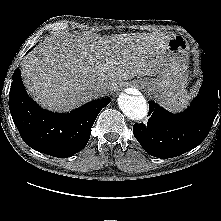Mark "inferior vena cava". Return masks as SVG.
<instances>
[{"label": "inferior vena cava", "mask_w": 221, "mask_h": 221, "mask_svg": "<svg viewBox=\"0 0 221 221\" xmlns=\"http://www.w3.org/2000/svg\"><path fill=\"white\" fill-rule=\"evenodd\" d=\"M92 89L97 96H103L107 93L109 86L105 82H99L96 83Z\"/></svg>", "instance_id": "602c4592"}]
</instances>
